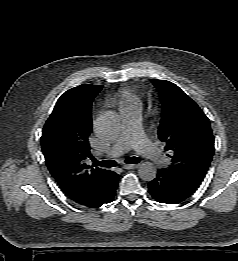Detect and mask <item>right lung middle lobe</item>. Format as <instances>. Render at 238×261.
Returning a JSON list of instances; mask_svg holds the SVG:
<instances>
[{"mask_svg":"<svg viewBox=\"0 0 238 261\" xmlns=\"http://www.w3.org/2000/svg\"><path fill=\"white\" fill-rule=\"evenodd\" d=\"M59 115H60V113H55L54 118L59 119Z\"/></svg>","mask_w":238,"mask_h":261,"instance_id":"right-lung-middle-lobe-1","label":"right lung middle lobe"}]
</instances>
